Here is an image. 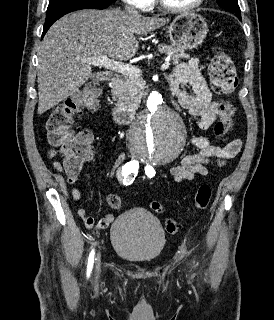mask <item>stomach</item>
Segmentation results:
<instances>
[{
    "label": "stomach",
    "mask_w": 274,
    "mask_h": 320,
    "mask_svg": "<svg viewBox=\"0 0 274 320\" xmlns=\"http://www.w3.org/2000/svg\"><path fill=\"white\" fill-rule=\"evenodd\" d=\"M208 26L199 14H179L168 28L169 38L173 46L182 50H194L201 46L207 36Z\"/></svg>",
    "instance_id": "1"
}]
</instances>
